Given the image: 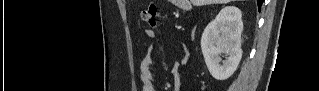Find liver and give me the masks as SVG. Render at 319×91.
<instances>
[{
  "instance_id": "obj_1",
  "label": "liver",
  "mask_w": 319,
  "mask_h": 91,
  "mask_svg": "<svg viewBox=\"0 0 319 91\" xmlns=\"http://www.w3.org/2000/svg\"><path fill=\"white\" fill-rule=\"evenodd\" d=\"M231 0H191L195 6L209 5V4H227Z\"/></svg>"
}]
</instances>
